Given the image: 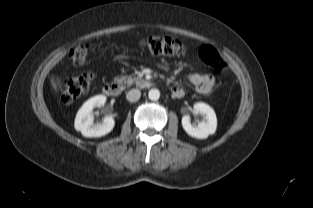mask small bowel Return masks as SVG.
Returning <instances> with one entry per match:
<instances>
[{"label": "small bowel", "instance_id": "small-bowel-1", "mask_svg": "<svg viewBox=\"0 0 313 208\" xmlns=\"http://www.w3.org/2000/svg\"><path fill=\"white\" fill-rule=\"evenodd\" d=\"M124 58V56H119L117 59L121 60ZM186 79L194 86L197 93L203 95L209 94L215 84L214 77L208 74L190 73L186 76ZM171 92L173 97L178 99L185 95V90L179 85L173 86Z\"/></svg>", "mask_w": 313, "mask_h": 208}]
</instances>
